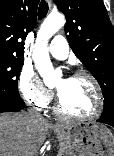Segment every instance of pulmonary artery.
<instances>
[{"label": "pulmonary artery", "mask_w": 114, "mask_h": 156, "mask_svg": "<svg viewBox=\"0 0 114 156\" xmlns=\"http://www.w3.org/2000/svg\"><path fill=\"white\" fill-rule=\"evenodd\" d=\"M49 53L54 58L65 59L69 53L67 40L61 35L55 36L49 45Z\"/></svg>", "instance_id": "pulmonary-artery-1"}]
</instances>
